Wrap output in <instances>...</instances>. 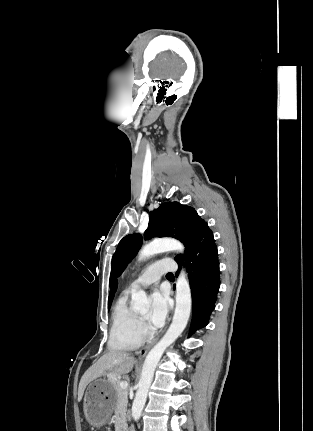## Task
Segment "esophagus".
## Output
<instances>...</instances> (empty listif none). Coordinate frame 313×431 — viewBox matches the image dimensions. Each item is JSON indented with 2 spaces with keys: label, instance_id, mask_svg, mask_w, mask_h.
<instances>
[{
  "label": "esophagus",
  "instance_id": "34e87169",
  "mask_svg": "<svg viewBox=\"0 0 313 431\" xmlns=\"http://www.w3.org/2000/svg\"><path fill=\"white\" fill-rule=\"evenodd\" d=\"M170 321V319H169ZM159 339V336L157 338H155L153 341L149 342L144 348H142L139 352H138V359L142 360L147 352L150 350V348L157 342V340Z\"/></svg>",
  "mask_w": 313,
  "mask_h": 431
}]
</instances>
